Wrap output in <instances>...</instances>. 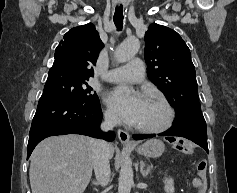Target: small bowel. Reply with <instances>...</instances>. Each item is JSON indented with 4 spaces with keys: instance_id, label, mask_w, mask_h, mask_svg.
<instances>
[{
    "instance_id": "1",
    "label": "small bowel",
    "mask_w": 237,
    "mask_h": 193,
    "mask_svg": "<svg viewBox=\"0 0 237 193\" xmlns=\"http://www.w3.org/2000/svg\"><path fill=\"white\" fill-rule=\"evenodd\" d=\"M191 186L197 191V193H201V181L199 178L195 177L191 180Z\"/></svg>"
}]
</instances>
